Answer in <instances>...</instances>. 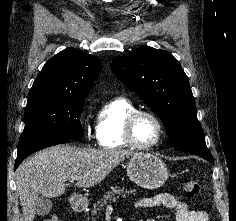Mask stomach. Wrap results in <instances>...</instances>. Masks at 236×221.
Returning <instances> with one entry per match:
<instances>
[{
    "mask_svg": "<svg viewBox=\"0 0 236 221\" xmlns=\"http://www.w3.org/2000/svg\"><path fill=\"white\" fill-rule=\"evenodd\" d=\"M129 178L138 186L145 189H157L168 179L169 171L165 163L156 155L150 153H136L127 164ZM72 203H83L80 195L70 197Z\"/></svg>",
    "mask_w": 236,
    "mask_h": 221,
    "instance_id": "obj_1",
    "label": "stomach"
}]
</instances>
